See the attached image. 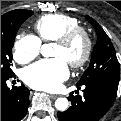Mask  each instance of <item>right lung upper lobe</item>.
<instances>
[{"instance_id": "cb5924a9", "label": "right lung upper lobe", "mask_w": 121, "mask_h": 121, "mask_svg": "<svg viewBox=\"0 0 121 121\" xmlns=\"http://www.w3.org/2000/svg\"><path fill=\"white\" fill-rule=\"evenodd\" d=\"M15 11H17V10L10 11V12H8V13L2 15L1 18L8 17L9 15L13 14Z\"/></svg>"}]
</instances>
